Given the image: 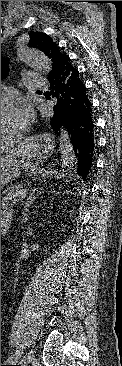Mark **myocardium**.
Returning a JSON list of instances; mask_svg holds the SVG:
<instances>
[{"label":"myocardium","instance_id":"f54148a6","mask_svg":"<svg viewBox=\"0 0 122 366\" xmlns=\"http://www.w3.org/2000/svg\"><path fill=\"white\" fill-rule=\"evenodd\" d=\"M11 100L7 97L1 96V107L10 105ZM20 132L18 129L15 134L11 135L10 137H1V145H11L15 142V138L17 134Z\"/></svg>","mask_w":122,"mask_h":366}]
</instances>
